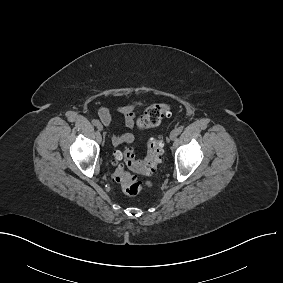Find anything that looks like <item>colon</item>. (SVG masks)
<instances>
[{"label": "colon", "mask_w": 283, "mask_h": 283, "mask_svg": "<svg viewBox=\"0 0 283 283\" xmlns=\"http://www.w3.org/2000/svg\"><path fill=\"white\" fill-rule=\"evenodd\" d=\"M171 106L167 103L154 104L148 107L137 119V127L141 130L158 126L161 121L170 116ZM163 155V142L158 138H150L147 144V155L144 159H138L132 148H125L115 153L118 164L113 178L120 185L122 191L134 196L150 185L149 181H140L135 174L149 176L156 172ZM129 170H127V169Z\"/></svg>", "instance_id": "1"}]
</instances>
